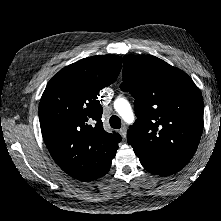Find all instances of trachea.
Segmentation results:
<instances>
[{
	"label": "trachea",
	"mask_w": 221,
	"mask_h": 221,
	"mask_svg": "<svg viewBox=\"0 0 221 221\" xmlns=\"http://www.w3.org/2000/svg\"><path fill=\"white\" fill-rule=\"evenodd\" d=\"M110 126L114 129H119L121 127V119L116 115L111 116Z\"/></svg>",
	"instance_id": "obj_1"
}]
</instances>
